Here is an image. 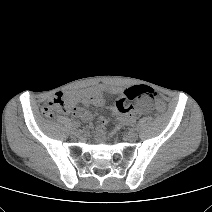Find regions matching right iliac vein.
I'll use <instances>...</instances> for the list:
<instances>
[{"mask_svg": "<svg viewBox=\"0 0 212 212\" xmlns=\"http://www.w3.org/2000/svg\"><path fill=\"white\" fill-rule=\"evenodd\" d=\"M71 135L74 136V137L78 136L79 135L78 130H72Z\"/></svg>", "mask_w": 212, "mask_h": 212, "instance_id": "obj_1", "label": "right iliac vein"}]
</instances>
